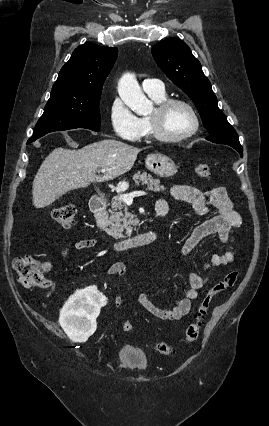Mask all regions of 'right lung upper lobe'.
I'll return each instance as SVG.
<instances>
[{
    "instance_id": "1",
    "label": "right lung upper lobe",
    "mask_w": 269,
    "mask_h": 426,
    "mask_svg": "<svg viewBox=\"0 0 269 426\" xmlns=\"http://www.w3.org/2000/svg\"><path fill=\"white\" fill-rule=\"evenodd\" d=\"M117 48L85 43L77 47L59 72L52 93L69 96L101 95L104 81L117 58Z\"/></svg>"
}]
</instances>
